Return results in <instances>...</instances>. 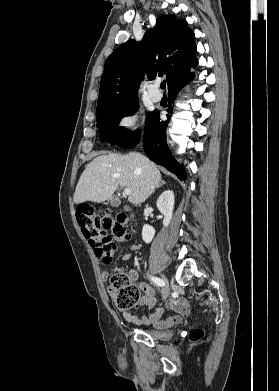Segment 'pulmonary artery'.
I'll return each instance as SVG.
<instances>
[{
	"mask_svg": "<svg viewBox=\"0 0 279 391\" xmlns=\"http://www.w3.org/2000/svg\"><path fill=\"white\" fill-rule=\"evenodd\" d=\"M148 95L154 102H159L162 99L161 92L156 88L155 85H150L148 88Z\"/></svg>",
	"mask_w": 279,
	"mask_h": 391,
	"instance_id": "e3ab8cb5",
	"label": "pulmonary artery"
}]
</instances>
